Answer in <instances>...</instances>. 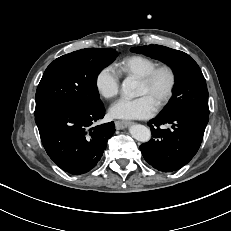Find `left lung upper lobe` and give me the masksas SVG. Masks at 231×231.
Here are the masks:
<instances>
[{"instance_id": "1", "label": "left lung upper lobe", "mask_w": 231, "mask_h": 231, "mask_svg": "<svg viewBox=\"0 0 231 231\" xmlns=\"http://www.w3.org/2000/svg\"><path fill=\"white\" fill-rule=\"evenodd\" d=\"M131 51L158 59L174 71L176 83L173 96L161 115L186 110L209 116L205 78L198 64L188 54L160 45L133 47Z\"/></svg>"}]
</instances>
